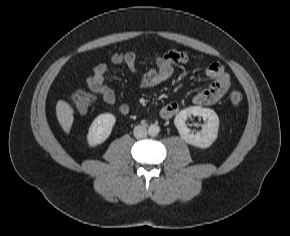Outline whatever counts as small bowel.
Masks as SVG:
<instances>
[{"instance_id": "small-bowel-1", "label": "small bowel", "mask_w": 290, "mask_h": 236, "mask_svg": "<svg viewBox=\"0 0 290 236\" xmlns=\"http://www.w3.org/2000/svg\"><path fill=\"white\" fill-rule=\"evenodd\" d=\"M189 61V55L184 51L171 50L164 55L155 58V67L149 69L139 80L138 86L141 89H147L159 85L169 79L174 71L176 64H186ZM113 65H125L131 72L138 71L137 56L133 52L115 53L111 56ZM109 67L105 63L98 64L93 73L87 78V86L91 92L102 97L105 104L114 106L116 97L114 92L106 85V77ZM207 74L212 82L204 90L196 93L193 97L194 104L198 106L213 105L218 102L231 86V78L224 66L219 62L210 64L207 68ZM180 110L178 103L171 102L164 105L159 116L163 120L173 118ZM118 111L122 115L129 113L127 104H120Z\"/></svg>"}]
</instances>
